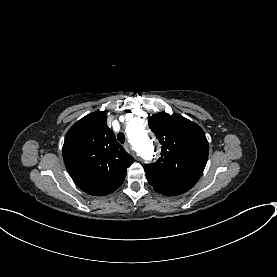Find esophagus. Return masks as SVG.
<instances>
[{"mask_svg":"<svg viewBox=\"0 0 277 277\" xmlns=\"http://www.w3.org/2000/svg\"><path fill=\"white\" fill-rule=\"evenodd\" d=\"M124 148L127 152H131V153L133 152L131 145L128 142L125 143ZM134 157H135V155H134Z\"/></svg>","mask_w":277,"mask_h":277,"instance_id":"1","label":"esophagus"}]
</instances>
